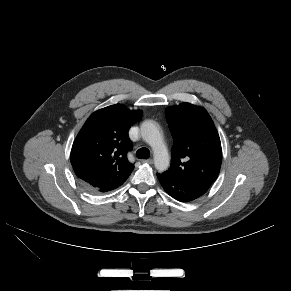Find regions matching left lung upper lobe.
<instances>
[{
	"label": "left lung upper lobe",
	"mask_w": 291,
	"mask_h": 291,
	"mask_svg": "<svg viewBox=\"0 0 291 291\" xmlns=\"http://www.w3.org/2000/svg\"><path fill=\"white\" fill-rule=\"evenodd\" d=\"M165 116L174 137L166 173L208 189L222 162L221 142L207 111L190 103L168 107Z\"/></svg>",
	"instance_id": "1"
}]
</instances>
